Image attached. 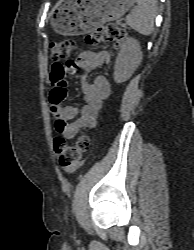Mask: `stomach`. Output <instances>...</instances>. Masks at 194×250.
Segmentation results:
<instances>
[{
	"instance_id": "1",
	"label": "stomach",
	"mask_w": 194,
	"mask_h": 250,
	"mask_svg": "<svg viewBox=\"0 0 194 250\" xmlns=\"http://www.w3.org/2000/svg\"><path fill=\"white\" fill-rule=\"evenodd\" d=\"M136 0H60L53 9L51 25L62 35H82L106 22L119 19Z\"/></svg>"
}]
</instances>
